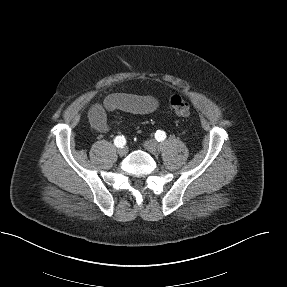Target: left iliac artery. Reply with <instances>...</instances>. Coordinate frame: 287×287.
Returning a JSON list of instances; mask_svg holds the SVG:
<instances>
[{"label": "left iliac artery", "instance_id": "left-iliac-artery-1", "mask_svg": "<svg viewBox=\"0 0 287 287\" xmlns=\"http://www.w3.org/2000/svg\"><path fill=\"white\" fill-rule=\"evenodd\" d=\"M157 141H163L166 138V133L162 130H157L155 133Z\"/></svg>", "mask_w": 287, "mask_h": 287}]
</instances>
